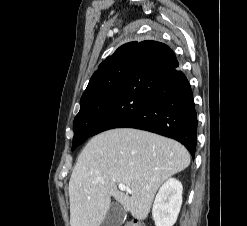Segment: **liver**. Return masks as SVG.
<instances>
[{
    "label": "liver",
    "mask_w": 247,
    "mask_h": 226,
    "mask_svg": "<svg viewBox=\"0 0 247 226\" xmlns=\"http://www.w3.org/2000/svg\"><path fill=\"white\" fill-rule=\"evenodd\" d=\"M190 164L179 142L132 128L93 137L80 153L69 181L70 225L100 226L111 197L138 220L147 218L160 185ZM125 184V193L117 189Z\"/></svg>",
    "instance_id": "1"
}]
</instances>
